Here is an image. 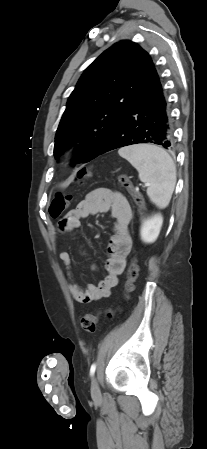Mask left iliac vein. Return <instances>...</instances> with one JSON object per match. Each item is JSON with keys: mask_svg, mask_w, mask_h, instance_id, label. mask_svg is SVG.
Returning a JSON list of instances; mask_svg holds the SVG:
<instances>
[{"mask_svg": "<svg viewBox=\"0 0 207 449\" xmlns=\"http://www.w3.org/2000/svg\"><path fill=\"white\" fill-rule=\"evenodd\" d=\"M91 396L93 399H98L101 396V391L96 377H93L91 381Z\"/></svg>", "mask_w": 207, "mask_h": 449, "instance_id": "obj_1", "label": "left iliac vein"}]
</instances>
